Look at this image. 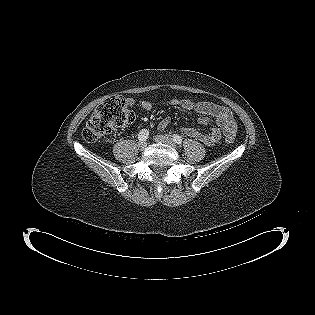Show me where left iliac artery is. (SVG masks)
Listing matches in <instances>:
<instances>
[{"mask_svg":"<svg viewBox=\"0 0 315 315\" xmlns=\"http://www.w3.org/2000/svg\"><path fill=\"white\" fill-rule=\"evenodd\" d=\"M172 139H173V141H174L175 143H177V144H181V143H182V138H181V136H179V135H177V134H174V135L172 136Z\"/></svg>","mask_w":315,"mask_h":315,"instance_id":"1","label":"left iliac artery"}]
</instances>
